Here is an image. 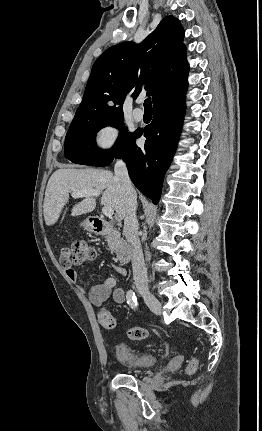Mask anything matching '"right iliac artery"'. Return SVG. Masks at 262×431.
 Masks as SVG:
<instances>
[{
  "mask_svg": "<svg viewBox=\"0 0 262 431\" xmlns=\"http://www.w3.org/2000/svg\"><path fill=\"white\" fill-rule=\"evenodd\" d=\"M127 303L130 305V307L134 310L137 308V297L135 296V293L132 290H129L127 292Z\"/></svg>",
  "mask_w": 262,
  "mask_h": 431,
  "instance_id": "82829eb1",
  "label": "right iliac artery"
}]
</instances>
